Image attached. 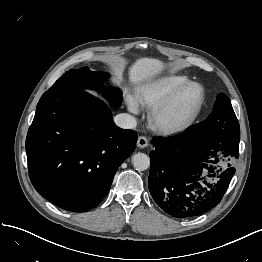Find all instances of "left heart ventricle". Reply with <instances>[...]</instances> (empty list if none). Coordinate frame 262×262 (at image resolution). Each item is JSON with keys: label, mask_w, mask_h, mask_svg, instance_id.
Masks as SVG:
<instances>
[{"label": "left heart ventricle", "mask_w": 262, "mask_h": 262, "mask_svg": "<svg viewBox=\"0 0 262 262\" xmlns=\"http://www.w3.org/2000/svg\"><path fill=\"white\" fill-rule=\"evenodd\" d=\"M200 98V89L190 86L180 95L176 103L163 115L166 122H177L188 117L194 110Z\"/></svg>", "instance_id": "obj_1"}]
</instances>
